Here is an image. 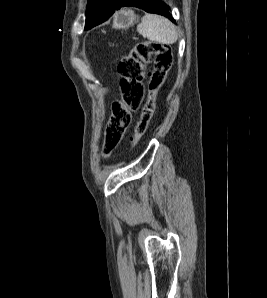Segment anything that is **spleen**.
<instances>
[{
    "label": "spleen",
    "instance_id": "spleen-1",
    "mask_svg": "<svg viewBox=\"0 0 267 298\" xmlns=\"http://www.w3.org/2000/svg\"><path fill=\"white\" fill-rule=\"evenodd\" d=\"M137 31L148 40L162 44H174L178 39L175 25L167 18L155 14L143 16Z\"/></svg>",
    "mask_w": 267,
    "mask_h": 298
}]
</instances>
